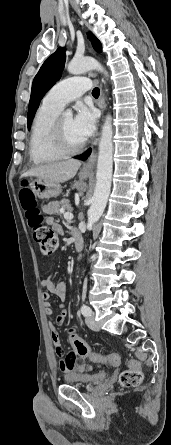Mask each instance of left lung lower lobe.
I'll return each instance as SVG.
<instances>
[{"label": "left lung lower lobe", "mask_w": 171, "mask_h": 445, "mask_svg": "<svg viewBox=\"0 0 171 445\" xmlns=\"http://www.w3.org/2000/svg\"><path fill=\"white\" fill-rule=\"evenodd\" d=\"M91 153V149L87 150L86 152H84L81 155L76 156L75 158L80 159V160H85Z\"/></svg>", "instance_id": "1"}]
</instances>
